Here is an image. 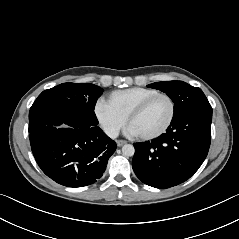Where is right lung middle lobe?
<instances>
[{
	"label": "right lung middle lobe",
	"instance_id": "right-lung-middle-lobe-1",
	"mask_svg": "<svg viewBox=\"0 0 239 239\" xmlns=\"http://www.w3.org/2000/svg\"><path fill=\"white\" fill-rule=\"evenodd\" d=\"M103 89L89 83H63L43 91L29 112V132L50 122L97 124L94 113Z\"/></svg>",
	"mask_w": 239,
	"mask_h": 239
}]
</instances>
